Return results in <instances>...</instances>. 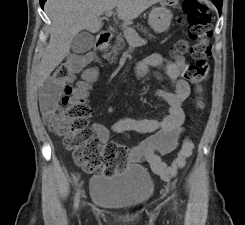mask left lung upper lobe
Returning <instances> with one entry per match:
<instances>
[{
	"label": "left lung upper lobe",
	"mask_w": 245,
	"mask_h": 225,
	"mask_svg": "<svg viewBox=\"0 0 245 225\" xmlns=\"http://www.w3.org/2000/svg\"><path fill=\"white\" fill-rule=\"evenodd\" d=\"M213 2H214V4L216 5V7L217 6H222V2H223V0H212ZM218 8V7H217ZM218 11H219V13H220V11H221V8H218ZM221 14V13H220Z\"/></svg>",
	"instance_id": "left-lung-upper-lobe-1"
}]
</instances>
